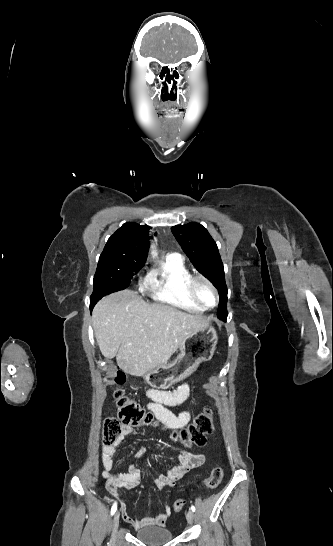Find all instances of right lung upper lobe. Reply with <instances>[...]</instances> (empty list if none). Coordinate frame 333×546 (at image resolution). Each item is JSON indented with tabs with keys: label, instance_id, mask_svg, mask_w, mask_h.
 Returning <instances> with one entry per match:
<instances>
[{
	"label": "right lung upper lobe",
	"instance_id": "right-lung-upper-lobe-1",
	"mask_svg": "<svg viewBox=\"0 0 333 546\" xmlns=\"http://www.w3.org/2000/svg\"><path fill=\"white\" fill-rule=\"evenodd\" d=\"M148 226L127 222L122 225L107 241L100 256L124 259L129 268L140 270L147 259L149 249Z\"/></svg>",
	"mask_w": 333,
	"mask_h": 546
}]
</instances>
